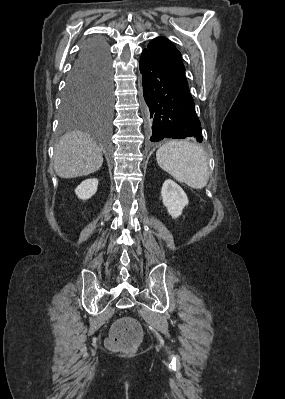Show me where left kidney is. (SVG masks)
<instances>
[{
    "label": "left kidney",
    "instance_id": "obj_1",
    "mask_svg": "<svg viewBox=\"0 0 285 399\" xmlns=\"http://www.w3.org/2000/svg\"><path fill=\"white\" fill-rule=\"evenodd\" d=\"M163 205L167 208L172 218H177L182 214V210L189 201L183 189L171 179H167L161 189Z\"/></svg>",
    "mask_w": 285,
    "mask_h": 399
}]
</instances>
